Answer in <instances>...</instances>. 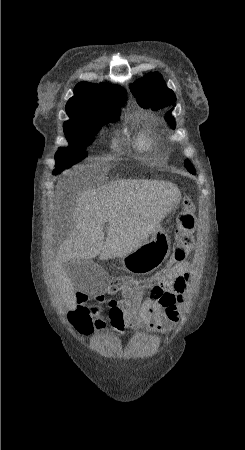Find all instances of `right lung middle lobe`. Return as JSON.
<instances>
[{
	"label": "right lung middle lobe",
	"instance_id": "dd1d6c3e",
	"mask_svg": "<svg viewBox=\"0 0 245 450\" xmlns=\"http://www.w3.org/2000/svg\"><path fill=\"white\" fill-rule=\"evenodd\" d=\"M120 116V109L108 105H96L86 108L63 125L70 146L56 153L57 175L87 157L86 146L92 142L95 134L106 122H113Z\"/></svg>",
	"mask_w": 245,
	"mask_h": 450
}]
</instances>
